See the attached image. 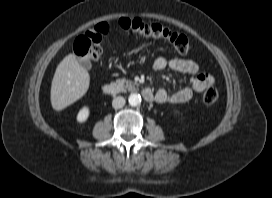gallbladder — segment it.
Instances as JSON below:
<instances>
[{
    "mask_svg": "<svg viewBox=\"0 0 272 198\" xmlns=\"http://www.w3.org/2000/svg\"><path fill=\"white\" fill-rule=\"evenodd\" d=\"M79 63L81 64V66L87 70H90L92 68V64L91 61L87 58H80L79 59Z\"/></svg>",
    "mask_w": 272,
    "mask_h": 198,
    "instance_id": "gallbladder-1",
    "label": "gallbladder"
}]
</instances>
